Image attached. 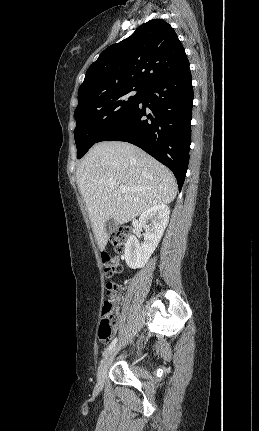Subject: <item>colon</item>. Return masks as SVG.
I'll return each mask as SVG.
<instances>
[{"mask_svg": "<svg viewBox=\"0 0 259 431\" xmlns=\"http://www.w3.org/2000/svg\"><path fill=\"white\" fill-rule=\"evenodd\" d=\"M130 231L128 228H120L111 236V243L117 253H123ZM101 260L104 273L108 278L107 299L102 306V318L98 328V336L102 342H107L118 323L115 297L119 292V285L114 281V277L121 273L122 265L116 256L108 252H102Z\"/></svg>", "mask_w": 259, "mask_h": 431, "instance_id": "5ec220e1", "label": "colon"}]
</instances>
